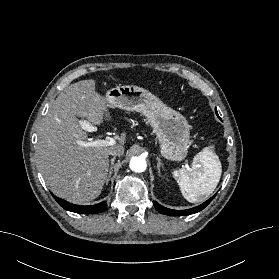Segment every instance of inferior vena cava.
Masks as SVG:
<instances>
[{
  "mask_svg": "<svg viewBox=\"0 0 279 279\" xmlns=\"http://www.w3.org/2000/svg\"><path fill=\"white\" fill-rule=\"evenodd\" d=\"M124 153V149L122 147L112 149L109 152V155L120 156Z\"/></svg>",
  "mask_w": 279,
  "mask_h": 279,
  "instance_id": "obj_1",
  "label": "inferior vena cava"
}]
</instances>
